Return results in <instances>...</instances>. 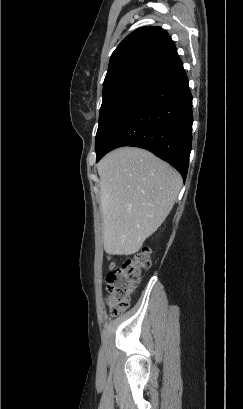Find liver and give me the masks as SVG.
Here are the masks:
<instances>
[{"instance_id": "1", "label": "liver", "mask_w": 243, "mask_h": 409, "mask_svg": "<svg viewBox=\"0 0 243 409\" xmlns=\"http://www.w3.org/2000/svg\"><path fill=\"white\" fill-rule=\"evenodd\" d=\"M104 249L111 255L140 250L172 210L181 175L149 151L118 148L98 164Z\"/></svg>"}]
</instances>
